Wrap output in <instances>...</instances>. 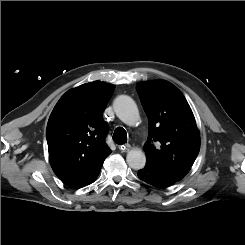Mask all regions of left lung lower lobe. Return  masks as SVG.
<instances>
[{"instance_id": "1", "label": "left lung lower lobe", "mask_w": 245, "mask_h": 245, "mask_svg": "<svg viewBox=\"0 0 245 245\" xmlns=\"http://www.w3.org/2000/svg\"><path fill=\"white\" fill-rule=\"evenodd\" d=\"M137 175L142 181L162 189L173 186L184 178L155 168L150 164H146L143 169H140Z\"/></svg>"}]
</instances>
